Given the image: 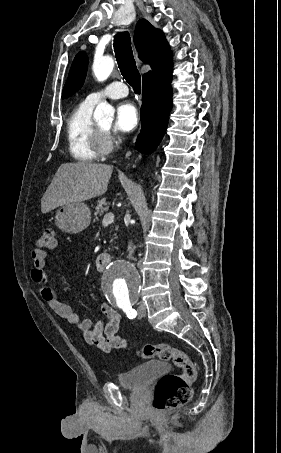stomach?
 I'll return each instance as SVG.
<instances>
[{
    "label": "stomach",
    "instance_id": "1",
    "mask_svg": "<svg viewBox=\"0 0 281 453\" xmlns=\"http://www.w3.org/2000/svg\"><path fill=\"white\" fill-rule=\"evenodd\" d=\"M57 227L63 233L76 235L89 227L91 222V212L89 206L84 202H68L59 206L55 214Z\"/></svg>",
    "mask_w": 281,
    "mask_h": 453
}]
</instances>
